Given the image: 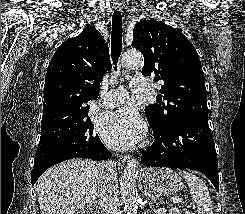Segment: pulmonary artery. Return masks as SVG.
I'll use <instances>...</instances> for the list:
<instances>
[{"mask_svg":"<svg viewBox=\"0 0 245 214\" xmlns=\"http://www.w3.org/2000/svg\"><path fill=\"white\" fill-rule=\"evenodd\" d=\"M149 80L144 77H134L130 82L133 93L143 94L149 89ZM128 98V92L124 88L113 89L103 97V104L107 107H114L124 103Z\"/></svg>","mask_w":245,"mask_h":214,"instance_id":"e3ab8cb5","label":"pulmonary artery"}]
</instances>
